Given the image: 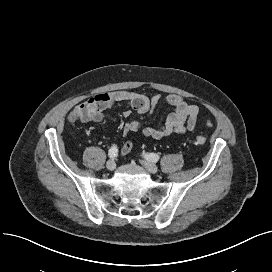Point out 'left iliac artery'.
Here are the masks:
<instances>
[{
    "instance_id": "1",
    "label": "left iliac artery",
    "mask_w": 272,
    "mask_h": 272,
    "mask_svg": "<svg viewBox=\"0 0 272 272\" xmlns=\"http://www.w3.org/2000/svg\"><path fill=\"white\" fill-rule=\"evenodd\" d=\"M145 158L149 161L157 162L160 157H159V155H157L155 153H147V154H145Z\"/></svg>"
}]
</instances>
